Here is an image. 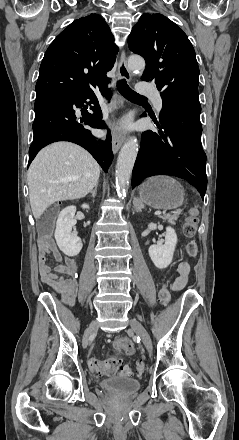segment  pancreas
Instances as JSON below:
<instances>
[{
    "label": "pancreas",
    "instance_id": "1",
    "mask_svg": "<svg viewBox=\"0 0 239 440\" xmlns=\"http://www.w3.org/2000/svg\"><path fill=\"white\" fill-rule=\"evenodd\" d=\"M181 214V210H176V212H172V214H165L164 218L163 216H159V218H162V220H167V222H170V224H174L175 220L179 218Z\"/></svg>",
    "mask_w": 239,
    "mask_h": 440
}]
</instances>
